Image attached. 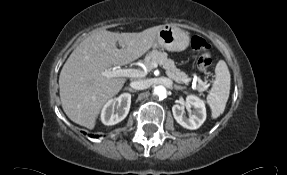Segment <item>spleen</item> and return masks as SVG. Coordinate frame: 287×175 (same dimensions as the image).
Wrapping results in <instances>:
<instances>
[{"label":"spleen","instance_id":"3e777b00","mask_svg":"<svg viewBox=\"0 0 287 175\" xmlns=\"http://www.w3.org/2000/svg\"><path fill=\"white\" fill-rule=\"evenodd\" d=\"M215 81L207 96V103L212 110V118H217L225 110L230 94L231 75L225 61L220 60L215 68Z\"/></svg>","mask_w":287,"mask_h":175}]
</instances>
